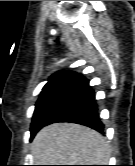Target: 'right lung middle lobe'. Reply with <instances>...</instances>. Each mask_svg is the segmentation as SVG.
I'll list each match as a JSON object with an SVG mask.
<instances>
[{
  "mask_svg": "<svg viewBox=\"0 0 135 166\" xmlns=\"http://www.w3.org/2000/svg\"><path fill=\"white\" fill-rule=\"evenodd\" d=\"M72 100L68 88L52 92L40 98L35 106L31 123V139L44 126L50 124L67 110Z\"/></svg>",
  "mask_w": 135,
  "mask_h": 166,
  "instance_id": "1",
  "label": "right lung middle lobe"
}]
</instances>
